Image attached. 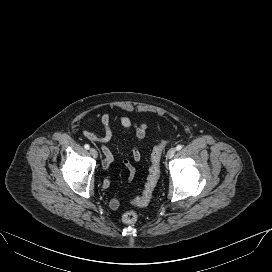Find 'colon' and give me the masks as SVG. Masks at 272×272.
<instances>
[{"instance_id":"1","label":"colon","mask_w":272,"mask_h":272,"mask_svg":"<svg viewBox=\"0 0 272 272\" xmlns=\"http://www.w3.org/2000/svg\"><path fill=\"white\" fill-rule=\"evenodd\" d=\"M167 144V141H161L153 148L151 152V165L144 184L143 192L141 196L133 200L134 205L144 206L147 205L151 200L154 189L158 183L160 176L161 158ZM122 221L126 225H134L138 221V215L134 211H127L123 214Z\"/></svg>"}]
</instances>
